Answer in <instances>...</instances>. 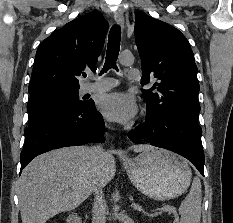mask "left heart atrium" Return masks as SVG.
<instances>
[{"label": "left heart atrium", "instance_id": "left-heart-atrium-1", "mask_svg": "<svg viewBox=\"0 0 233 223\" xmlns=\"http://www.w3.org/2000/svg\"><path fill=\"white\" fill-rule=\"evenodd\" d=\"M99 110L105 118L126 124L137 116L138 105L133 96L116 93L102 97L99 102Z\"/></svg>", "mask_w": 233, "mask_h": 223}]
</instances>
